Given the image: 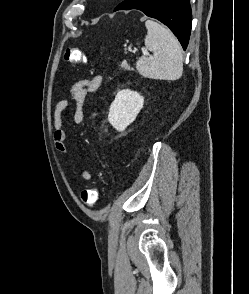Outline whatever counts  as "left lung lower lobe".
I'll return each instance as SVG.
<instances>
[{"label": "left lung lower lobe", "mask_w": 249, "mask_h": 294, "mask_svg": "<svg viewBox=\"0 0 249 294\" xmlns=\"http://www.w3.org/2000/svg\"><path fill=\"white\" fill-rule=\"evenodd\" d=\"M138 9L167 25L185 50L191 31L189 0H125L114 11Z\"/></svg>", "instance_id": "left-lung-lower-lobe-1"}]
</instances>
